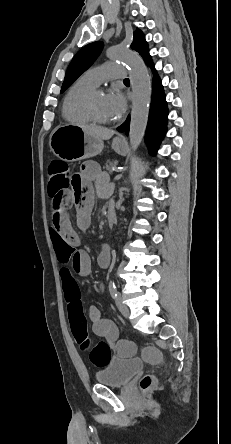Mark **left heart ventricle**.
Masks as SVG:
<instances>
[{
  "label": "left heart ventricle",
  "instance_id": "b2bd125f",
  "mask_svg": "<svg viewBox=\"0 0 231 444\" xmlns=\"http://www.w3.org/2000/svg\"><path fill=\"white\" fill-rule=\"evenodd\" d=\"M94 108L99 117L107 120H111L114 118L109 111L106 103V95L104 93L96 94L94 98Z\"/></svg>",
  "mask_w": 231,
  "mask_h": 444
}]
</instances>
